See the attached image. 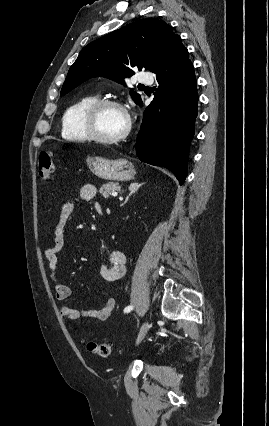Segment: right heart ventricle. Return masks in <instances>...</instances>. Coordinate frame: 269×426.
Wrapping results in <instances>:
<instances>
[{
    "instance_id": "obj_1",
    "label": "right heart ventricle",
    "mask_w": 269,
    "mask_h": 426,
    "mask_svg": "<svg viewBox=\"0 0 269 426\" xmlns=\"http://www.w3.org/2000/svg\"><path fill=\"white\" fill-rule=\"evenodd\" d=\"M96 95H86L71 104L62 117V136L73 141H87L89 139L83 125L85 110L97 100Z\"/></svg>"
}]
</instances>
